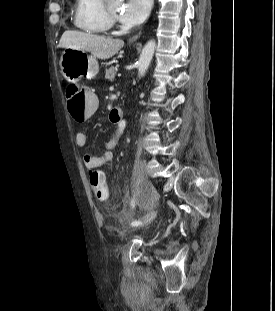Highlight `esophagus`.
Wrapping results in <instances>:
<instances>
[{
	"instance_id": "1",
	"label": "esophagus",
	"mask_w": 275,
	"mask_h": 311,
	"mask_svg": "<svg viewBox=\"0 0 275 311\" xmlns=\"http://www.w3.org/2000/svg\"><path fill=\"white\" fill-rule=\"evenodd\" d=\"M139 35H140V33L137 34V35H135L131 40H132V41H135V40L138 38Z\"/></svg>"
}]
</instances>
